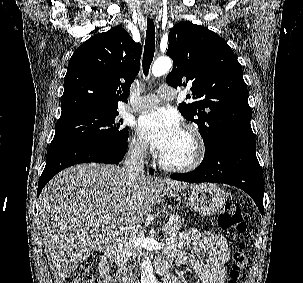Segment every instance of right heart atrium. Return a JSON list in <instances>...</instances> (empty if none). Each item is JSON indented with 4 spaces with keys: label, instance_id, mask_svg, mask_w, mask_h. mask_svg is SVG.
Here are the masks:
<instances>
[{
    "label": "right heart atrium",
    "instance_id": "1",
    "mask_svg": "<svg viewBox=\"0 0 303 283\" xmlns=\"http://www.w3.org/2000/svg\"><path fill=\"white\" fill-rule=\"evenodd\" d=\"M130 153L137 159H146L149 156V148L147 144L138 136H133L129 143Z\"/></svg>",
    "mask_w": 303,
    "mask_h": 283
}]
</instances>
